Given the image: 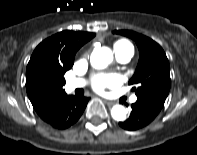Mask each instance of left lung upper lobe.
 <instances>
[{
	"instance_id": "1",
	"label": "left lung upper lobe",
	"mask_w": 197,
	"mask_h": 155,
	"mask_svg": "<svg viewBox=\"0 0 197 155\" xmlns=\"http://www.w3.org/2000/svg\"><path fill=\"white\" fill-rule=\"evenodd\" d=\"M134 40L139 49V62L129 84L137 100L161 110L170 90V65L161 46L152 39L130 30H116Z\"/></svg>"
}]
</instances>
